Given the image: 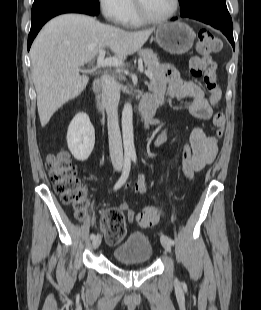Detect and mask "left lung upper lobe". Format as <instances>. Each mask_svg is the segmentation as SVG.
Returning a JSON list of instances; mask_svg holds the SVG:
<instances>
[{"instance_id": "obj_1", "label": "left lung upper lobe", "mask_w": 261, "mask_h": 310, "mask_svg": "<svg viewBox=\"0 0 261 310\" xmlns=\"http://www.w3.org/2000/svg\"><path fill=\"white\" fill-rule=\"evenodd\" d=\"M216 1L219 0H179L181 6V17L196 14Z\"/></svg>"}]
</instances>
